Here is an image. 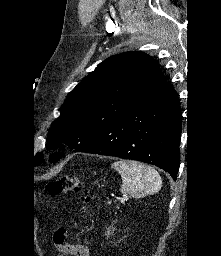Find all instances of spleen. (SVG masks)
<instances>
[{
  "instance_id": "spleen-1",
  "label": "spleen",
  "mask_w": 221,
  "mask_h": 256,
  "mask_svg": "<svg viewBox=\"0 0 221 256\" xmlns=\"http://www.w3.org/2000/svg\"><path fill=\"white\" fill-rule=\"evenodd\" d=\"M111 167L117 170L122 178L120 192L129 194L135 199L157 193L162 186L159 173L151 166L136 161H116Z\"/></svg>"
}]
</instances>
